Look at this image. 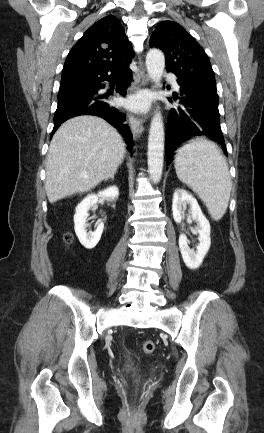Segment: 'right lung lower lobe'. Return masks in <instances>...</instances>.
Listing matches in <instances>:
<instances>
[{
    "instance_id": "obj_1",
    "label": "right lung lower lobe",
    "mask_w": 264,
    "mask_h": 433,
    "mask_svg": "<svg viewBox=\"0 0 264 433\" xmlns=\"http://www.w3.org/2000/svg\"><path fill=\"white\" fill-rule=\"evenodd\" d=\"M131 80L128 67L112 73H100L94 76H80L60 83L58 106L54 115L52 136L66 120L84 114L96 115L104 118L124 136L128 149L133 142L132 133L126 122L125 115L114 107L108 94H98L99 89L105 87L103 81L120 84L117 91L125 96L126 88Z\"/></svg>"
}]
</instances>
